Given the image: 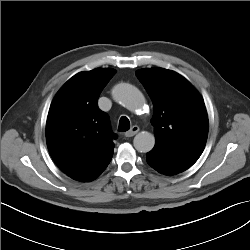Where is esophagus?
Segmentation results:
<instances>
[{
  "label": "esophagus",
  "instance_id": "34e87169",
  "mask_svg": "<svg viewBox=\"0 0 250 250\" xmlns=\"http://www.w3.org/2000/svg\"><path fill=\"white\" fill-rule=\"evenodd\" d=\"M139 131V127L137 125H134L129 131L125 133L126 137H133L135 134H137Z\"/></svg>",
  "mask_w": 250,
  "mask_h": 250
}]
</instances>
